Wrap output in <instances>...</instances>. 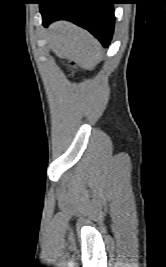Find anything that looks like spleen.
<instances>
[{"mask_svg":"<svg viewBox=\"0 0 166 267\" xmlns=\"http://www.w3.org/2000/svg\"><path fill=\"white\" fill-rule=\"evenodd\" d=\"M53 50L77 62L81 67L93 69L101 58L99 42L87 31L69 23H57L48 35Z\"/></svg>","mask_w":166,"mask_h":267,"instance_id":"1","label":"spleen"}]
</instances>
